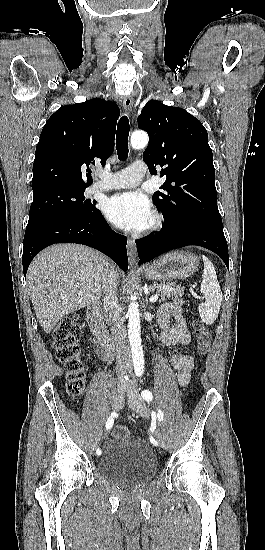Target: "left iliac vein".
Listing matches in <instances>:
<instances>
[{
  "mask_svg": "<svg viewBox=\"0 0 265 550\" xmlns=\"http://www.w3.org/2000/svg\"><path fill=\"white\" fill-rule=\"evenodd\" d=\"M129 407L142 417H147V408L142 397L136 393H130L128 398ZM162 447H165V443L160 440Z\"/></svg>",
  "mask_w": 265,
  "mask_h": 550,
  "instance_id": "1",
  "label": "left iliac vein"
}]
</instances>
